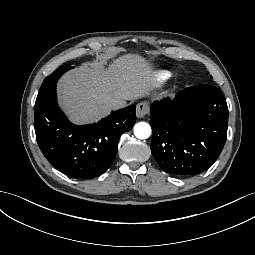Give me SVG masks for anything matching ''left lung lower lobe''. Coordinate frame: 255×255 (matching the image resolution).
I'll use <instances>...</instances> for the list:
<instances>
[{
  "label": "left lung lower lobe",
  "mask_w": 255,
  "mask_h": 255,
  "mask_svg": "<svg viewBox=\"0 0 255 255\" xmlns=\"http://www.w3.org/2000/svg\"><path fill=\"white\" fill-rule=\"evenodd\" d=\"M150 113L151 151L164 171L192 176L217 160L226 142L229 113L218 88H186L174 100L154 102Z\"/></svg>",
  "instance_id": "left-lung-lower-lobe-1"
}]
</instances>
